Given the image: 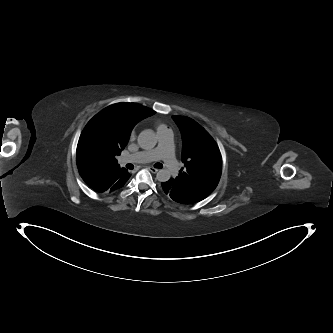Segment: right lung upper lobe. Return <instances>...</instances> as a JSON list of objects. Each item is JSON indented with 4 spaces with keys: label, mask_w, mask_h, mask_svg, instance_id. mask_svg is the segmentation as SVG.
<instances>
[{
    "label": "right lung upper lobe",
    "mask_w": 333,
    "mask_h": 333,
    "mask_svg": "<svg viewBox=\"0 0 333 333\" xmlns=\"http://www.w3.org/2000/svg\"><path fill=\"white\" fill-rule=\"evenodd\" d=\"M109 118L117 123L123 136L129 139V135L135 124L142 119L155 114L154 110L139 105L137 103H116L102 110ZM123 169V168H122ZM120 165L115 163H107L99 167L96 172L100 177H104L114 171H120Z\"/></svg>",
    "instance_id": "right-lung-upper-lobe-1"
}]
</instances>
